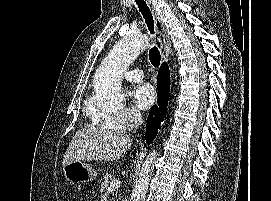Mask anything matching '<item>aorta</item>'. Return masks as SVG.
Segmentation results:
<instances>
[{"label": "aorta", "instance_id": "1", "mask_svg": "<svg viewBox=\"0 0 271 201\" xmlns=\"http://www.w3.org/2000/svg\"><path fill=\"white\" fill-rule=\"evenodd\" d=\"M147 35L126 34L110 51L97 71L95 99L105 107H119L125 97L121 78L129 65L149 46ZM157 151L152 150L144 161L135 182L130 201H144L154 168Z\"/></svg>", "mask_w": 271, "mask_h": 201}]
</instances>
